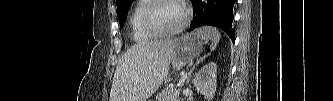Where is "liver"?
I'll use <instances>...</instances> for the list:
<instances>
[{
  "mask_svg": "<svg viewBox=\"0 0 333 101\" xmlns=\"http://www.w3.org/2000/svg\"><path fill=\"white\" fill-rule=\"evenodd\" d=\"M174 40L139 42L127 50L113 77L110 101H146L168 75Z\"/></svg>",
  "mask_w": 333,
  "mask_h": 101,
  "instance_id": "1",
  "label": "liver"
}]
</instances>
